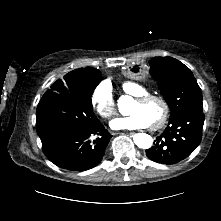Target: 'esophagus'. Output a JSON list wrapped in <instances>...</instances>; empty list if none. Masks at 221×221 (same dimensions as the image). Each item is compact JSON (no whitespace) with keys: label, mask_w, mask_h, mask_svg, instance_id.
Segmentation results:
<instances>
[{"label":"esophagus","mask_w":221,"mask_h":221,"mask_svg":"<svg viewBox=\"0 0 221 221\" xmlns=\"http://www.w3.org/2000/svg\"><path fill=\"white\" fill-rule=\"evenodd\" d=\"M117 134H120V133H118V132H113V133H112V135H117ZM129 134H130V135H133L134 133H133V132H130Z\"/></svg>","instance_id":"obj_1"}]
</instances>
